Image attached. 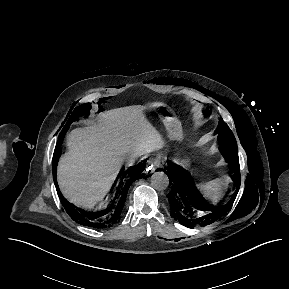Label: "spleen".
Segmentation results:
<instances>
[{
  "instance_id": "obj_1",
  "label": "spleen",
  "mask_w": 289,
  "mask_h": 289,
  "mask_svg": "<svg viewBox=\"0 0 289 289\" xmlns=\"http://www.w3.org/2000/svg\"><path fill=\"white\" fill-rule=\"evenodd\" d=\"M224 186L225 180L222 178H216L197 185L203 196L213 203H216L221 198Z\"/></svg>"
}]
</instances>
